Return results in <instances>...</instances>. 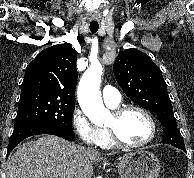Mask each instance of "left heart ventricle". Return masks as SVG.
<instances>
[{
    "label": "left heart ventricle",
    "mask_w": 194,
    "mask_h": 178,
    "mask_svg": "<svg viewBox=\"0 0 194 178\" xmlns=\"http://www.w3.org/2000/svg\"><path fill=\"white\" fill-rule=\"evenodd\" d=\"M107 126H116L120 137L128 143H141L149 138L151 126L148 119L138 111H129L116 121L111 115Z\"/></svg>",
    "instance_id": "left-heart-ventricle-1"
}]
</instances>
